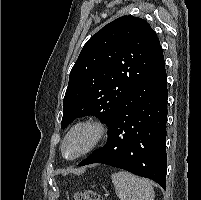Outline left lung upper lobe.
Returning a JSON list of instances; mask_svg holds the SVG:
<instances>
[{
    "instance_id": "left-lung-upper-lobe-1",
    "label": "left lung upper lobe",
    "mask_w": 201,
    "mask_h": 200,
    "mask_svg": "<svg viewBox=\"0 0 201 200\" xmlns=\"http://www.w3.org/2000/svg\"><path fill=\"white\" fill-rule=\"evenodd\" d=\"M162 56L159 39L145 20L122 16L104 26L83 46L70 72L61 128L88 115L108 125Z\"/></svg>"
}]
</instances>
